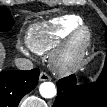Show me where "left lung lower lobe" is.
I'll use <instances>...</instances> for the list:
<instances>
[{"instance_id":"1","label":"left lung lower lobe","mask_w":107,"mask_h":107,"mask_svg":"<svg viewBox=\"0 0 107 107\" xmlns=\"http://www.w3.org/2000/svg\"><path fill=\"white\" fill-rule=\"evenodd\" d=\"M57 97L53 107H107V66L97 82L77 85L74 75L57 82Z\"/></svg>"}]
</instances>
